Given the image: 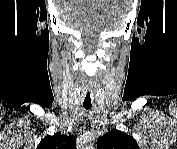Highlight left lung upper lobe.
<instances>
[{"label": "left lung upper lobe", "instance_id": "1", "mask_svg": "<svg viewBox=\"0 0 177 149\" xmlns=\"http://www.w3.org/2000/svg\"><path fill=\"white\" fill-rule=\"evenodd\" d=\"M97 146L98 149H139L133 137L116 129L98 138Z\"/></svg>", "mask_w": 177, "mask_h": 149}]
</instances>
